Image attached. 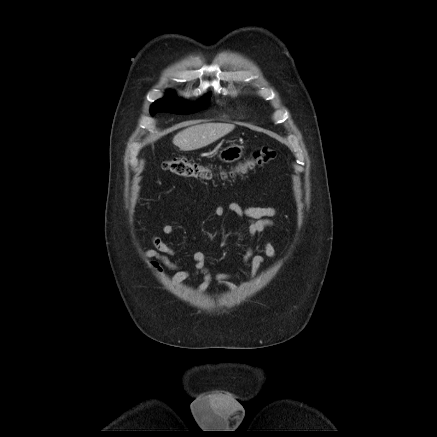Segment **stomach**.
I'll list each match as a JSON object with an SVG mask.
<instances>
[{"label": "stomach", "instance_id": "0dacf381", "mask_svg": "<svg viewBox=\"0 0 437 437\" xmlns=\"http://www.w3.org/2000/svg\"><path fill=\"white\" fill-rule=\"evenodd\" d=\"M243 154V147L239 145H230L219 153V159L226 163H231L239 160Z\"/></svg>", "mask_w": 437, "mask_h": 437}]
</instances>
